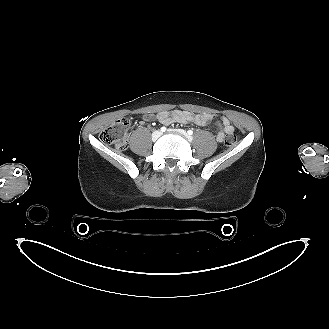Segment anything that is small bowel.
<instances>
[{"mask_svg": "<svg viewBox=\"0 0 329 329\" xmlns=\"http://www.w3.org/2000/svg\"><path fill=\"white\" fill-rule=\"evenodd\" d=\"M157 120L164 124L170 125L172 123H192L198 126H208L215 122L219 128L216 134L218 142H223L226 135L234 132V126L225 116L217 117L208 113H192L184 110L162 111L157 114Z\"/></svg>", "mask_w": 329, "mask_h": 329, "instance_id": "c3829d8e", "label": "small bowel"}]
</instances>
